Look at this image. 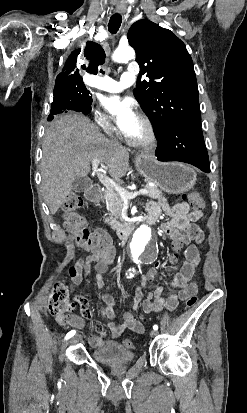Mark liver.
I'll list each match as a JSON object with an SVG mask.
<instances>
[{
	"instance_id": "liver-1",
	"label": "liver",
	"mask_w": 247,
	"mask_h": 413,
	"mask_svg": "<svg viewBox=\"0 0 247 413\" xmlns=\"http://www.w3.org/2000/svg\"><path fill=\"white\" fill-rule=\"evenodd\" d=\"M42 150L41 188L51 215L71 194L73 180L90 172L93 158L105 162L113 178L124 176L129 166V150L106 138L97 124L76 112H64L50 122Z\"/></svg>"
}]
</instances>
